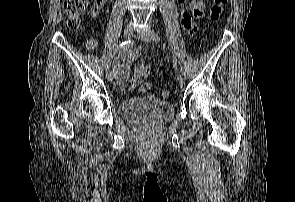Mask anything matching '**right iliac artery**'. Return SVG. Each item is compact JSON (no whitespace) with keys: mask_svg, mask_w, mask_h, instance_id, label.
Returning a JSON list of instances; mask_svg holds the SVG:
<instances>
[{"mask_svg":"<svg viewBox=\"0 0 295 202\" xmlns=\"http://www.w3.org/2000/svg\"><path fill=\"white\" fill-rule=\"evenodd\" d=\"M134 43V41L128 40V41H124L122 42L119 46H117L111 54V58L108 60L107 62V69H109L110 65H111V60L112 58L115 56L116 53H118L121 50H125L127 48H129L130 46H132Z\"/></svg>","mask_w":295,"mask_h":202,"instance_id":"1","label":"right iliac artery"}]
</instances>
